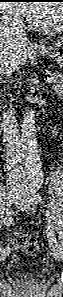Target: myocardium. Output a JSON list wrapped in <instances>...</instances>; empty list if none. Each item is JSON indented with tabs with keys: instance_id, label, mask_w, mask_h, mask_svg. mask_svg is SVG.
Masks as SVG:
<instances>
[{
	"instance_id": "obj_1",
	"label": "myocardium",
	"mask_w": 63,
	"mask_h": 297,
	"mask_svg": "<svg viewBox=\"0 0 63 297\" xmlns=\"http://www.w3.org/2000/svg\"><path fill=\"white\" fill-rule=\"evenodd\" d=\"M59 10H60V18L57 24L55 25H45L42 23H32V25L37 28L40 29L43 32L46 33H58L62 30L63 27V7L61 5L58 6Z\"/></svg>"
}]
</instances>
